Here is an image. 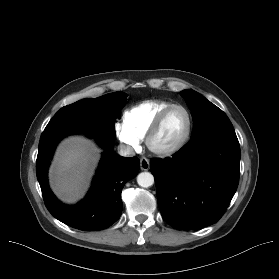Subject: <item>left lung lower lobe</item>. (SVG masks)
Segmentation results:
<instances>
[{
    "mask_svg": "<svg viewBox=\"0 0 279 279\" xmlns=\"http://www.w3.org/2000/svg\"><path fill=\"white\" fill-rule=\"evenodd\" d=\"M240 157L235 131L219 130L192 138L172 158L152 159L163 218L179 230L216 223L236 192Z\"/></svg>",
    "mask_w": 279,
    "mask_h": 279,
    "instance_id": "obj_1",
    "label": "left lung lower lobe"
}]
</instances>
